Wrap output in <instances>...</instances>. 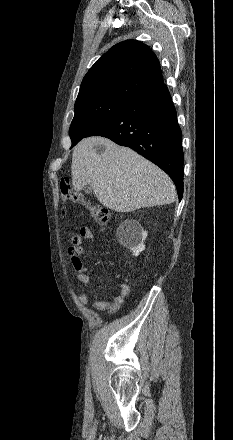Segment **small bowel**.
<instances>
[{"instance_id": "1", "label": "small bowel", "mask_w": 233, "mask_h": 440, "mask_svg": "<svg viewBox=\"0 0 233 440\" xmlns=\"http://www.w3.org/2000/svg\"><path fill=\"white\" fill-rule=\"evenodd\" d=\"M93 236V231L89 227H82L79 233L72 238L71 244L68 248L72 266L76 271V277L85 286L90 285V277L87 268L80 259V256L84 253L82 240H92ZM129 292V286L127 284H122L119 286V292L116 296L94 302L93 309L95 311L107 310L109 313H115L120 308ZM79 300L83 305H86L88 301L87 296L84 294L79 295Z\"/></svg>"}]
</instances>
